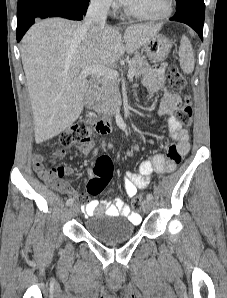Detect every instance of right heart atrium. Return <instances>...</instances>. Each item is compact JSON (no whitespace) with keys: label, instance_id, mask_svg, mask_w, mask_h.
<instances>
[{"label":"right heart atrium","instance_id":"right-heart-atrium-1","mask_svg":"<svg viewBox=\"0 0 227 298\" xmlns=\"http://www.w3.org/2000/svg\"><path fill=\"white\" fill-rule=\"evenodd\" d=\"M92 4L103 11H108L115 6L114 0H91Z\"/></svg>","mask_w":227,"mask_h":298}]
</instances>
